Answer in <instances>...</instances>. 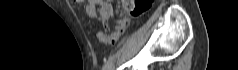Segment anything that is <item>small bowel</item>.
Listing matches in <instances>:
<instances>
[{
    "mask_svg": "<svg viewBox=\"0 0 238 70\" xmlns=\"http://www.w3.org/2000/svg\"><path fill=\"white\" fill-rule=\"evenodd\" d=\"M90 6L95 10V7L100 8V13L102 18L106 21L114 15V10L110 0H91ZM128 24L126 19H121L118 21L116 30L112 33L107 32H98L97 37L100 42L106 45L114 44L121 34L124 32Z\"/></svg>",
    "mask_w": 238,
    "mask_h": 70,
    "instance_id": "1",
    "label": "small bowel"
}]
</instances>
